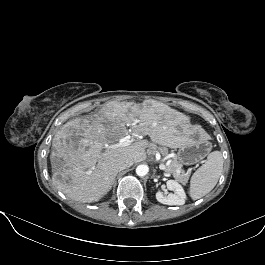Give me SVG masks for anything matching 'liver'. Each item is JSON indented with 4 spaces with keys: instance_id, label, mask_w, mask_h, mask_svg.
<instances>
[{
    "instance_id": "6515ba94",
    "label": "liver",
    "mask_w": 265,
    "mask_h": 265,
    "mask_svg": "<svg viewBox=\"0 0 265 265\" xmlns=\"http://www.w3.org/2000/svg\"><path fill=\"white\" fill-rule=\"evenodd\" d=\"M187 123L185 115L163 103L139 108L129 102H107L97 114L74 118L56 133L50 157L52 181L72 200L99 201L113 185L117 163L125 159L141 162L154 153L156 144L182 147L190 136ZM128 126L134 135H148L153 143L133 140L129 146L111 149L128 135ZM56 158L62 161L60 169Z\"/></svg>"
}]
</instances>
